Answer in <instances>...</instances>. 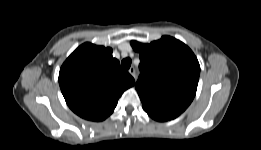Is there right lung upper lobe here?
<instances>
[{
    "instance_id": "right-lung-upper-lobe-1",
    "label": "right lung upper lobe",
    "mask_w": 261,
    "mask_h": 150,
    "mask_svg": "<svg viewBox=\"0 0 261 150\" xmlns=\"http://www.w3.org/2000/svg\"><path fill=\"white\" fill-rule=\"evenodd\" d=\"M133 77L120 67L112 49L84 43L63 63L59 85L70 109L91 121L106 119Z\"/></svg>"
}]
</instances>
